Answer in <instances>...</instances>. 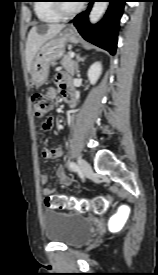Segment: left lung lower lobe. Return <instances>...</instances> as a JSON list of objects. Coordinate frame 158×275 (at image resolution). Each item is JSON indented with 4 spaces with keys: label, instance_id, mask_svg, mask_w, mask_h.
<instances>
[{
    "label": "left lung lower lobe",
    "instance_id": "left-lung-lower-lobe-1",
    "mask_svg": "<svg viewBox=\"0 0 158 275\" xmlns=\"http://www.w3.org/2000/svg\"><path fill=\"white\" fill-rule=\"evenodd\" d=\"M106 1L110 2V6L101 22L94 26H91L88 22V14L94 2V0H91L89 8L77 15L73 23L84 39L114 55L117 48L119 20L126 0Z\"/></svg>",
    "mask_w": 158,
    "mask_h": 275
}]
</instances>
